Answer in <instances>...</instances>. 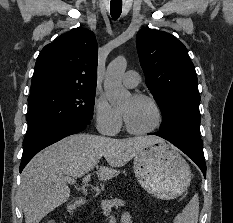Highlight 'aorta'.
<instances>
[{"label": "aorta", "instance_id": "aorta-1", "mask_svg": "<svg viewBox=\"0 0 233 223\" xmlns=\"http://www.w3.org/2000/svg\"><path fill=\"white\" fill-rule=\"evenodd\" d=\"M127 68L125 58H116L110 62L104 80V90L111 106H121L131 98L130 92L122 86V76Z\"/></svg>", "mask_w": 233, "mask_h": 223}]
</instances>
